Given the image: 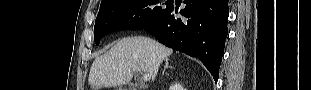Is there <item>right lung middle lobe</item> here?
I'll return each mask as SVG.
<instances>
[{
	"instance_id": "1",
	"label": "right lung middle lobe",
	"mask_w": 311,
	"mask_h": 90,
	"mask_svg": "<svg viewBox=\"0 0 311 90\" xmlns=\"http://www.w3.org/2000/svg\"><path fill=\"white\" fill-rule=\"evenodd\" d=\"M159 0H106L101 3L94 26V41L120 30L143 29L159 21L169 10L158 4Z\"/></svg>"
}]
</instances>
